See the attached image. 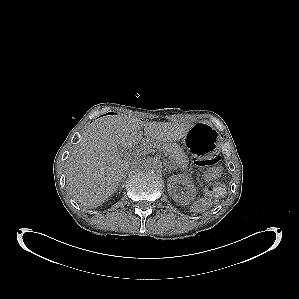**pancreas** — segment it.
<instances>
[{"label":"pancreas","mask_w":299,"mask_h":299,"mask_svg":"<svg viewBox=\"0 0 299 299\" xmlns=\"http://www.w3.org/2000/svg\"><path fill=\"white\" fill-rule=\"evenodd\" d=\"M155 147L162 149L169 154L170 159L175 162V168L180 167L183 169L187 168L188 158L187 155L183 152L182 148L175 143H161L153 142L149 143Z\"/></svg>","instance_id":"obj_1"}]
</instances>
